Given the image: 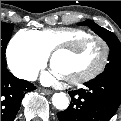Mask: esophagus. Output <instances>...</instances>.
Returning <instances> with one entry per match:
<instances>
[{
    "label": "esophagus",
    "mask_w": 121,
    "mask_h": 121,
    "mask_svg": "<svg viewBox=\"0 0 121 121\" xmlns=\"http://www.w3.org/2000/svg\"><path fill=\"white\" fill-rule=\"evenodd\" d=\"M39 90H40L42 93L47 94V95L52 94V91H51V90H46V89H42V88H40Z\"/></svg>",
    "instance_id": "obj_1"
}]
</instances>
